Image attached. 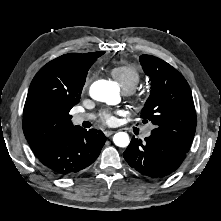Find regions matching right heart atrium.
Returning <instances> with one entry per match:
<instances>
[{
  "mask_svg": "<svg viewBox=\"0 0 221 221\" xmlns=\"http://www.w3.org/2000/svg\"><path fill=\"white\" fill-rule=\"evenodd\" d=\"M88 83H89V80L87 79V81H86V83H85V88H87V86H88Z\"/></svg>",
  "mask_w": 221,
  "mask_h": 221,
  "instance_id": "obj_1",
  "label": "right heart atrium"
}]
</instances>
